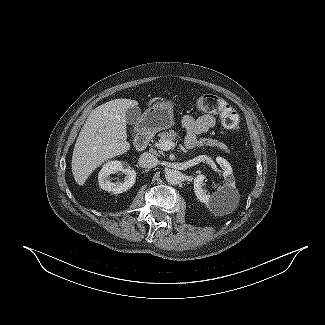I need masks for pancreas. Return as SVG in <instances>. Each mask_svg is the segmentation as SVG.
Here are the masks:
<instances>
[{"label": "pancreas", "instance_id": "obj_1", "mask_svg": "<svg viewBox=\"0 0 325 325\" xmlns=\"http://www.w3.org/2000/svg\"><path fill=\"white\" fill-rule=\"evenodd\" d=\"M159 142H157L155 144V146L158 147V144L161 142V141H166V140H170V141H174L176 139H178V134L177 132L173 131V130H169V131H164V132H161L159 133ZM211 146V147H217L218 149L220 150H223L224 152L228 153L229 150L227 148V146L222 143V142H219L217 140H214V139H211V138H200L198 141H197V146L201 147V146Z\"/></svg>", "mask_w": 325, "mask_h": 325}]
</instances>
